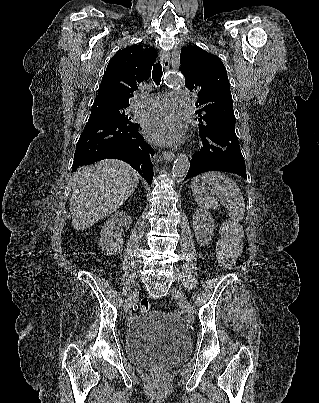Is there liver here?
Returning a JSON list of instances; mask_svg holds the SVG:
<instances>
[{"label":"liver","mask_w":319,"mask_h":403,"mask_svg":"<svg viewBox=\"0 0 319 403\" xmlns=\"http://www.w3.org/2000/svg\"><path fill=\"white\" fill-rule=\"evenodd\" d=\"M138 183V173L119 160L79 168L73 175L70 199L73 228L85 230L116 211Z\"/></svg>","instance_id":"6515ba94"}]
</instances>
